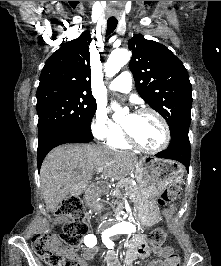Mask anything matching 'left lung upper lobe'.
<instances>
[{"label":"left lung upper lobe","instance_id":"left-lung-upper-lobe-1","mask_svg":"<svg viewBox=\"0 0 221 266\" xmlns=\"http://www.w3.org/2000/svg\"><path fill=\"white\" fill-rule=\"evenodd\" d=\"M129 68L139 95L167 121L171 139L189 132L192 87L183 63L166 46L141 34L128 41Z\"/></svg>","mask_w":221,"mask_h":266}]
</instances>
